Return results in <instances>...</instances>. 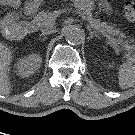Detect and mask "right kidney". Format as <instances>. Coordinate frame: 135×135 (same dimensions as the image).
I'll list each match as a JSON object with an SVG mask.
<instances>
[{
  "instance_id": "right-kidney-1",
  "label": "right kidney",
  "mask_w": 135,
  "mask_h": 135,
  "mask_svg": "<svg viewBox=\"0 0 135 135\" xmlns=\"http://www.w3.org/2000/svg\"><path fill=\"white\" fill-rule=\"evenodd\" d=\"M41 63L42 58L39 55L31 54L29 56H25L20 58L15 64L16 72L21 77H29L40 68Z\"/></svg>"
}]
</instances>
